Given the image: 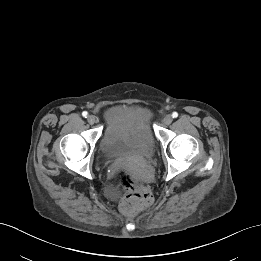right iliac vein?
I'll list each match as a JSON object with an SVG mask.
<instances>
[{"label": "right iliac vein", "instance_id": "right-iliac-vein-1", "mask_svg": "<svg viewBox=\"0 0 261 261\" xmlns=\"http://www.w3.org/2000/svg\"><path fill=\"white\" fill-rule=\"evenodd\" d=\"M87 121L90 125H93L96 122V117L94 115H89Z\"/></svg>", "mask_w": 261, "mask_h": 261}]
</instances>
